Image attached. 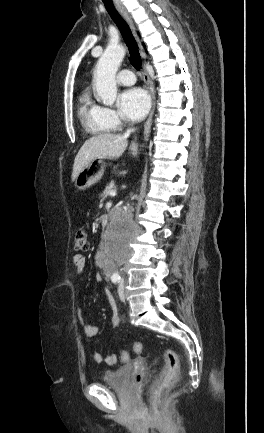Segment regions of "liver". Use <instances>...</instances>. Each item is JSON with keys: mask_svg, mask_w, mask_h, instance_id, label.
Returning <instances> with one entry per match:
<instances>
[{"mask_svg": "<svg viewBox=\"0 0 264 433\" xmlns=\"http://www.w3.org/2000/svg\"><path fill=\"white\" fill-rule=\"evenodd\" d=\"M128 146L127 138L120 134H100L91 137L80 148L77 153L72 172L74 182L81 170L92 160L102 158H119ZM133 156L137 155V145L132 142L129 148Z\"/></svg>", "mask_w": 264, "mask_h": 433, "instance_id": "6515ba94", "label": "liver"}]
</instances>
